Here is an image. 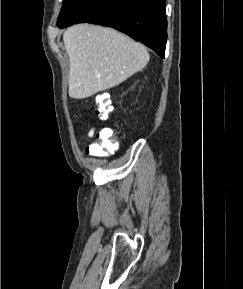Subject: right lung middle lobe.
Segmentation results:
<instances>
[{"mask_svg": "<svg viewBox=\"0 0 243 289\" xmlns=\"http://www.w3.org/2000/svg\"><path fill=\"white\" fill-rule=\"evenodd\" d=\"M82 0H64L58 23L68 19Z\"/></svg>", "mask_w": 243, "mask_h": 289, "instance_id": "dd1d6c3e", "label": "right lung middle lobe"}]
</instances>
